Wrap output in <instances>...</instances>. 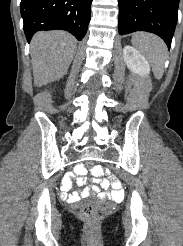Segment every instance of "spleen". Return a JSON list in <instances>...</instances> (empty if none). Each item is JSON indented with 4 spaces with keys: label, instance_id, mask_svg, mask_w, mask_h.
Masks as SVG:
<instances>
[{
    "label": "spleen",
    "instance_id": "1",
    "mask_svg": "<svg viewBox=\"0 0 183 246\" xmlns=\"http://www.w3.org/2000/svg\"><path fill=\"white\" fill-rule=\"evenodd\" d=\"M132 44L148 59L155 77L161 79L167 59V46L164 41L150 33H136L132 37Z\"/></svg>",
    "mask_w": 183,
    "mask_h": 246
}]
</instances>
